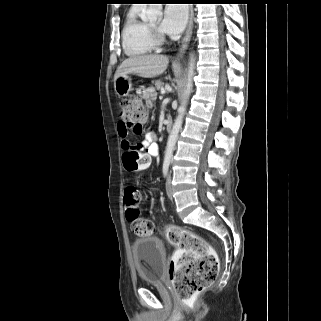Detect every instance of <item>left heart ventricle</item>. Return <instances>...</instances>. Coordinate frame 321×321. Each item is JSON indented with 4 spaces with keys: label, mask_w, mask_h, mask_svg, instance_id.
<instances>
[{
    "label": "left heart ventricle",
    "mask_w": 321,
    "mask_h": 321,
    "mask_svg": "<svg viewBox=\"0 0 321 321\" xmlns=\"http://www.w3.org/2000/svg\"><path fill=\"white\" fill-rule=\"evenodd\" d=\"M158 24H159L158 22H152L150 25L158 29Z\"/></svg>",
    "instance_id": "obj_1"
}]
</instances>
